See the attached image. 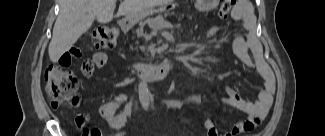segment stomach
<instances>
[{
  "mask_svg": "<svg viewBox=\"0 0 325 136\" xmlns=\"http://www.w3.org/2000/svg\"><path fill=\"white\" fill-rule=\"evenodd\" d=\"M197 8L199 10H210L213 7H215L216 5H218L219 0H197ZM169 7L170 8H177L178 7V2L177 1H170L169 2ZM168 6L165 8L167 11L170 9ZM151 13V11H149L148 13L143 14L140 17H137L135 19H140L143 18L147 15H149Z\"/></svg>",
  "mask_w": 325,
  "mask_h": 136,
  "instance_id": "1",
  "label": "stomach"
}]
</instances>
